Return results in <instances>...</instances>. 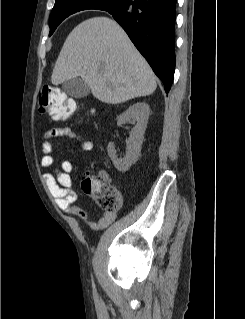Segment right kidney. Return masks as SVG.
<instances>
[{
  "instance_id": "obj_1",
  "label": "right kidney",
  "mask_w": 245,
  "mask_h": 319,
  "mask_svg": "<svg viewBox=\"0 0 245 319\" xmlns=\"http://www.w3.org/2000/svg\"><path fill=\"white\" fill-rule=\"evenodd\" d=\"M149 114V105L145 102H138L129 107L118 117V126L128 122H136L135 127L131 131L130 137L126 140V155L123 159H119L117 157L113 142H110L107 146L108 155L118 171L126 172L131 165L137 161L140 155L141 145L144 140V133L147 127Z\"/></svg>"
}]
</instances>
